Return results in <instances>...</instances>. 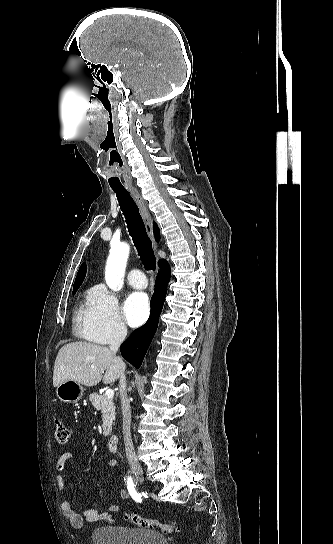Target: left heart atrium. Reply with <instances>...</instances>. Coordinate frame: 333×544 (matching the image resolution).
<instances>
[{"mask_svg":"<svg viewBox=\"0 0 333 544\" xmlns=\"http://www.w3.org/2000/svg\"><path fill=\"white\" fill-rule=\"evenodd\" d=\"M149 314V301L146 294L142 292L132 293L124 305V316L127 323L132 327L140 326L145 322Z\"/></svg>","mask_w":333,"mask_h":544,"instance_id":"39dd6f15","label":"left heart atrium"}]
</instances>
